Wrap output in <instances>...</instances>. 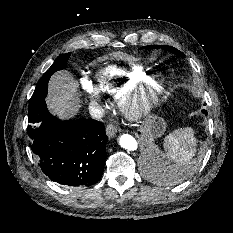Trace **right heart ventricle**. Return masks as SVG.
Wrapping results in <instances>:
<instances>
[{"label":"right heart ventricle","instance_id":"obj_1","mask_svg":"<svg viewBox=\"0 0 233 233\" xmlns=\"http://www.w3.org/2000/svg\"><path fill=\"white\" fill-rule=\"evenodd\" d=\"M149 68L109 66L97 75V86L108 96L118 98L127 90L148 82Z\"/></svg>","mask_w":233,"mask_h":233}]
</instances>
